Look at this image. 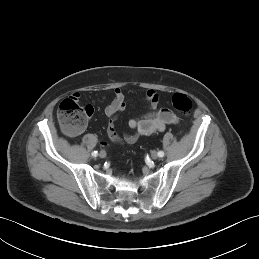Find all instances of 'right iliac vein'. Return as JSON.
Listing matches in <instances>:
<instances>
[{"label": "right iliac vein", "mask_w": 259, "mask_h": 259, "mask_svg": "<svg viewBox=\"0 0 259 259\" xmlns=\"http://www.w3.org/2000/svg\"><path fill=\"white\" fill-rule=\"evenodd\" d=\"M99 157H100V158H105V157H106V152L103 151V150L100 151V152H99Z\"/></svg>", "instance_id": "right-iliac-vein-1"}]
</instances>
